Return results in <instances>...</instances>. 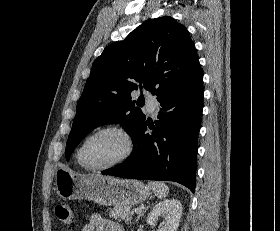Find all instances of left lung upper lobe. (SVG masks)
Segmentation results:
<instances>
[{"mask_svg": "<svg viewBox=\"0 0 280 231\" xmlns=\"http://www.w3.org/2000/svg\"><path fill=\"white\" fill-rule=\"evenodd\" d=\"M198 68L199 58L187 29L170 16L150 19L125 40L107 46L94 61L78 101L66 159L98 126L120 123L132 136L145 115L137 107L143 96L135 101L131 93L143 87L157 96Z\"/></svg>", "mask_w": 280, "mask_h": 231, "instance_id": "1", "label": "left lung upper lobe"}]
</instances>
